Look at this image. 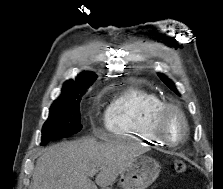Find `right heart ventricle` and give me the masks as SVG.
Returning a JSON list of instances; mask_svg holds the SVG:
<instances>
[{
  "label": "right heart ventricle",
  "instance_id": "right-heart-ventricle-1",
  "mask_svg": "<svg viewBox=\"0 0 223 189\" xmlns=\"http://www.w3.org/2000/svg\"><path fill=\"white\" fill-rule=\"evenodd\" d=\"M164 101L154 92L130 86L114 97L105 114L107 131L140 142L164 145L152 130L154 115Z\"/></svg>",
  "mask_w": 223,
  "mask_h": 189
}]
</instances>
